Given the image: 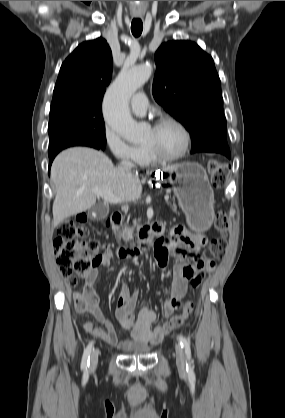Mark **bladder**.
<instances>
[{
	"label": "bladder",
	"instance_id": "1",
	"mask_svg": "<svg viewBox=\"0 0 285 418\" xmlns=\"http://www.w3.org/2000/svg\"><path fill=\"white\" fill-rule=\"evenodd\" d=\"M150 351V347L139 348L134 351V355L143 356L147 355Z\"/></svg>",
	"mask_w": 285,
	"mask_h": 418
}]
</instances>
